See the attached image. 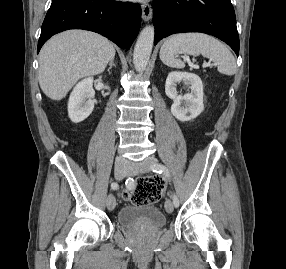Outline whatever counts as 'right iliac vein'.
Wrapping results in <instances>:
<instances>
[{"label": "right iliac vein", "instance_id": "63e3f726", "mask_svg": "<svg viewBox=\"0 0 286 269\" xmlns=\"http://www.w3.org/2000/svg\"><path fill=\"white\" fill-rule=\"evenodd\" d=\"M129 171V167L125 163H118L114 170V175L117 180L123 179ZM107 208L112 211L116 206V201L113 195H109L107 198Z\"/></svg>", "mask_w": 286, "mask_h": 269}]
</instances>
